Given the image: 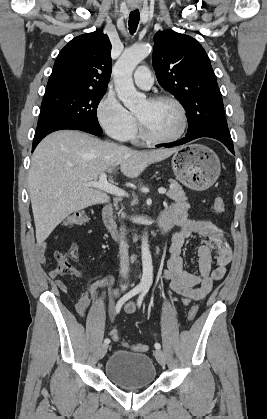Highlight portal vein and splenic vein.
Here are the masks:
<instances>
[{
	"label": "portal vein and splenic vein",
	"mask_w": 267,
	"mask_h": 419,
	"mask_svg": "<svg viewBox=\"0 0 267 419\" xmlns=\"http://www.w3.org/2000/svg\"><path fill=\"white\" fill-rule=\"evenodd\" d=\"M86 185L90 186V187H93V188L101 189V190H103L107 193L113 194V195L118 196V197L128 196V194L124 190L110 184L107 181L105 173L100 174V177H99L98 181H91V182H88ZM158 192H159V194H165L166 189L165 188H159Z\"/></svg>",
	"instance_id": "portal-vein-and-splenic-vein-1"
}]
</instances>
